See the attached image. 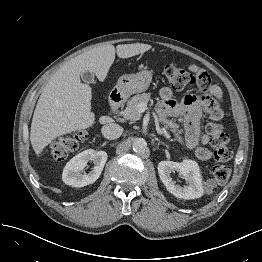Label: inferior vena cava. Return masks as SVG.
<instances>
[{"label": "inferior vena cava", "instance_id": "inferior-vena-cava-1", "mask_svg": "<svg viewBox=\"0 0 262 262\" xmlns=\"http://www.w3.org/2000/svg\"><path fill=\"white\" fill-rule=\"evenodd\" d=\"M102 134L107 139H117L121 136L123 128L116 123H108L102 127Z\"/></svg>", "mask_w": 262, "mask_h": 262}]
</instances>
